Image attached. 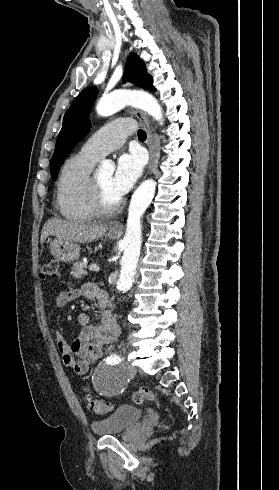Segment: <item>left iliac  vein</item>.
Segmentation results:
<instances>
[{
  "mask_svg": "<svg viewBox=\"0 0 279 490\" xmlns=\"http://www.w3.org/2000/svg\"><path fill=\"white\" fill-rule=\"evenodd\" d=\"M133 363H134V360L132 358L127 359V361L125 363V366L128 369L129 374H135L136 373V369L132 365Z\"/></svg>",
  "mask_w": 279,
  "mask_h": 490,
  "instance_id": "obj_1",
  "label": "left iliac vein"
}]
</instances>
